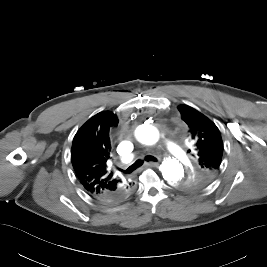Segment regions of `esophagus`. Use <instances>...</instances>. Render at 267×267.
Instances as JSON below:
<instances>
[{"label": "esophagus", "mask_w": 267, "mask_h": 267, "mask_svg": "<svg viewBox=\"0 0 267 267\" xmlns=\"http://www.w3.org/2000/svg\"><path fill=\"white\" fill-rule=\"evenodd\" d=\"M145 165L150 167H157L159 165L158 162H146Z\"/></svg>", "instance_id": "1"}]
</instances>
